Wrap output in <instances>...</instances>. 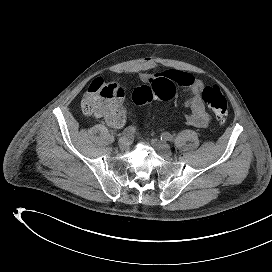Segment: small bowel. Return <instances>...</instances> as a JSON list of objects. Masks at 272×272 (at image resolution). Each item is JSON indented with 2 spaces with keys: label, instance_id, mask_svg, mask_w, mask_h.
<instances>
[{
  "label": "small bowel",
  "instance_id": "c3829d8e",
  "mask_svg": "<svg viewBox=\"0 0 272 272\" xmlns=\"http://www.w3.org/2000/svg\"><path fill=\"white\" fill-rule=\"evenodd\" d=\"M143 82H150L155 78H167L173 81L177 87L183 89L187 94L184 101V107L188 109L189 113L186 115L187 124L197 128H207L210 124L211 118L206 111L204 101L201 98L200 90L204 86V81L192 74L182 71H165L155 75L141 74ZM122 99V98H121ZM121 99L119 100V109L115 116L106 119V122L115 128L122 127L125 124V112L121 108Z\"/></svg>",
  "mask_w": 272,
  "mask_h": 272
}]
</instances>
